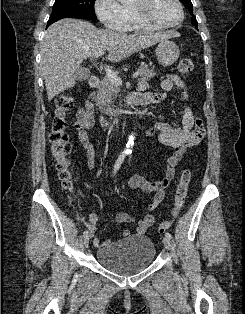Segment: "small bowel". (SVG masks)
I'll use <instances>...</instances> for the list:
<instances>
[{"mask_svg": "<svg viewBox=\"0 0 245 314\" xmlns=\"http://www.w3.org/2000/svg\"><path fill=\"white\" fill-rule=\"evenodd\" d=\"M174 86L179 87L183 91L184 101H189V94L186 83L177 75L169 74L160 84V91L150 89L146 82L140 83L141 94L144 95V100L140 103L143 105L161 103L166 100L167 92ZM95 126V119L90 105L86 104L77 110V121L75 130L77 141L85 151L86 163L89 169H94L96 165L95 149L88 135V130ZM205 130L201 118L194 115L191 107L187 105L183 111L182 126L173 127L166 122H158L153 128L147 131V136L157 137L159 142L168 145L173 149L172 154L166 161V169L161 180L151 182L142 175H135L128 179L126 186L128 189H138L141 193L148 195L155 193L154 200L147 206L148 211L154 210L165 197V188L170 184L175 176V170L188 149L196 146L203 138ZM114 220L119 223H136L135 233L144 235L146 231L155 223V217L152 214H146L141 219H136L134 216L119 212L115 214ZM99 218L96 214H91L88 217L87 227L91 236L97 230ZM123 237L130 235L129 230L121 232ZM109 240L102 241L99 238H94L96 246L109 243Z\"/></svg>", "mask_w": 245, "mask_h": 314, "instance_id": "c3829d8e", "label": "small bowel"}]
</instances>
